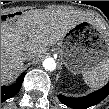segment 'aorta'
Masks as SVG:
<instances>
[{
	"label": "aorta",
	"mask_w": 109,
	"mask_h": 109,
	"mask_svg": "<svg viewBox=\"0 0 109 109\" xmlns=\"http://www.w3.org/2000/svg\"><path fill=\"white\" fill-rule=\"evenodd\" d=\"M43 67L45 70L53 71L56 68V61L53 58H46L43 61Z\"/></svg>",
	"instance_id": "762f6f07"
}]
</instances>
